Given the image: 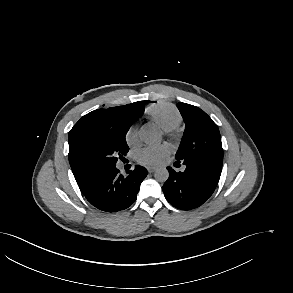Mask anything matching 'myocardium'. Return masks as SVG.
<instances>
[{
    "label": "myocardium",
    "mask_w": 293,
    "mask_h": 293,
    "mask_svg": "<svg viewBox=\"0 0 293 293\" xmlns=\"http://www.w3.org/2000/svg\"><path fill=\"white\" fill-rule=\"evenodd\" d=\"M167 134L173 140H178V138H179V134L176 131H174V130L167 131Z\"/></svg>",
    "instance_id": "obj_1"
}]
</instances>
